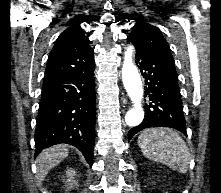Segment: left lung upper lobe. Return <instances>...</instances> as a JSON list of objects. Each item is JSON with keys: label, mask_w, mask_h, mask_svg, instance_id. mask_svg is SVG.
Listing matches in <instances>:
<instances>
[{"label": "left lung upper lobe", "mask_w": 221, "mask_h": 193, "mask_svg": "<svg viewBox=\"0 0 221 193\" xmlns=\"http://www.w3.org/2000/svg\"><path fill=\"white\" fill-rule=\"evenodd\" d=\"M128 39L134 44L135 48L156 58L174 63L169 45L157 27L138 21Z\"/></svg>", "instance_id": "obj_1"}]
</instances>
